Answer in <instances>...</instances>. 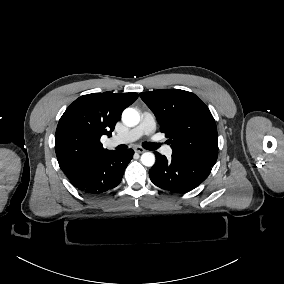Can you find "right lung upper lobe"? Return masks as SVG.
Returning <instances> with one entry per match:
<instances>
[{"label":"right lung upper lobe","instance_id":"1","mask_svg":"<svg viewBox=\"0 0 284 284\" xmlns=\"http://www.w3.org/2000/svg\"><path fill=\"white\" fill-rule=\"evenodd\" d=\"M138 98L130 93H92L76 99L59 120L55 152L60 168L71 179L106 156L100 138L111 136L122 111Z\"/></svg>","mask_w":284,"mask_h":284}]
</instances>
